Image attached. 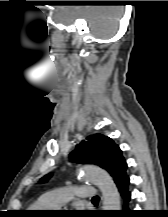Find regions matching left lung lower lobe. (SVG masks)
<instances>
[{
  "instance_id": "0a47b994",
  "label": "left lung lower lobe",
  "mask_w": 168,
  "mask_h": 217,
  "mask_svg": "<svg viewBox=\"0 0 168 217\" xmlns=\"http://www.w3.org/2000/svg\"><path fill=\"white\" fill-rule=\"evenodd\" d=\"M126 169H127V164L124 167V174L122 175V177L118 180V182L116 183L118 190L120 192V195L123 199L124 202V210L122 212H120L119 214H127L128 213V202L130 201L131 198V193L128 190V186L130 183V179L129 177L126 175Z\"/></svg>"
}]
</instances>
